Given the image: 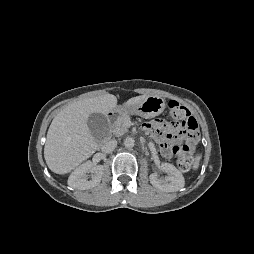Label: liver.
I'll list each match as a JSON object with an SVG mask.
<instances>
[{
  "instance_id": "1",
  "label": "liver",
  "mask_w": 254,
  "mask_h": 254,
  "mask_svg": "<svg viewBox=\"0 0 254 254\" xmlns=\"http://www.w3.org/2000/svg\"><path fill=\"white\" fill-rule=\"evenodd\" d=\"M148 96L130 98L125 105L139 104ZM116 109L117 98L104 94L79 100L60 111L48 129L44 146V158L49 169L57 174H66L88 159L98 148L87 125L89 115H107Z\"/></svg>"
}]
</instances>
